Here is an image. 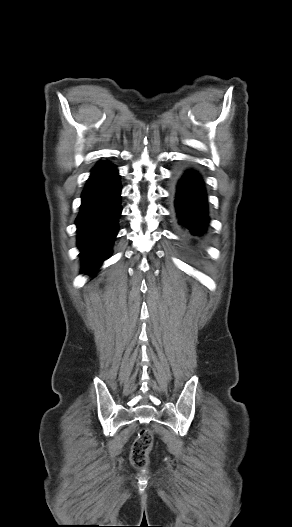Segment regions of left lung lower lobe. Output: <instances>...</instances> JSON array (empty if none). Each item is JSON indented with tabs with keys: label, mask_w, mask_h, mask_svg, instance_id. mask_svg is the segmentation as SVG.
<instances>
[{
	"label": "left lung lower lobe",
	"mask_w": 292,
	"mask_h": 527,
	"mask_svg": "<svg viewBox=\"0 0 292 527\" xmlns=\"http://www.w3.org/2000/svg\"><path fill=\"white\" fill-rule=\"evenodd\" d=\"M176 209L179 222L192 234H200L206 227L207 204L202 180L192 170L177 175Z\"/></svg>",
	"instance_id": "0a47b994"
}]
</instances>
